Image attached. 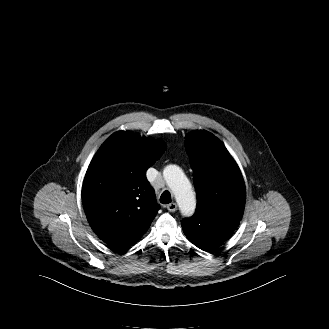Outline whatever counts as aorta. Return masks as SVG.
<instances>
[{"label":"aorta","instance_id":"1","mask_svg":"<svg viewBox=\"0 0 329 329\" xmlns=\"http://www.w3.org/2000/svg\"><path fill=\"white\" fill-rule=\"evenodd\" d=\"M163 177L174 194L181 213L185 216L192 215L196 207L195 194L182 169L177 165H168L163 170Z\"/></svg>","mask_w":329,"mask_h":329}]
</instances>
